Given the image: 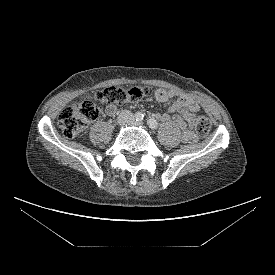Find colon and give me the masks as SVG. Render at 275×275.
Wrapping results in <instances>:
<instances>
[{"mask_svg": "<svg viewBox=\"0 0 275 275\" xmlns=\"http://www.w3.org/2000/svg\"><path fill=\"white\" fill-rule=\"evenodd\" d=\"M151 94L148 87L145 88H121L108 87L98 91L95 99L101 103H135L142 97ZM98 108L92 101H83L71 104L63 109L57 118V125L67 138H75L79 136L90 122L98 117ZM195 130L198 135L205 136L210 130L209 119L198 114L195 118Z\"/></svg>", "mask_w": 275, "mask_h": 275, "instance_id": "1", "label": "colon"}]
</instances>
